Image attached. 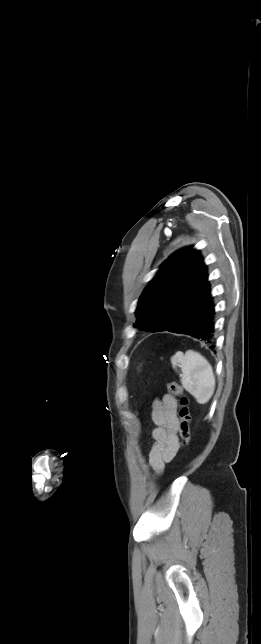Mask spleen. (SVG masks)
<instances>
[{"label": "spleen", "mask_w": 261, "mask_h": 644, "mask_svg": "<svg viewBox=\"0 0 261 644\" xmlns=\"http://www.w3.org/2000/svg\"><path fill=\"white\" fill-rule=\"evenodd\" d=\"M174 369L181 367V384L199 404L207 403L215 390V377L212 366L200 353L188 350L185 354L178 351L171 357Z\"/></svg>", "instance_id": "1"}]
</instances>
